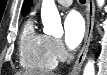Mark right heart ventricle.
<instances>
[{"instance_id":"obj_1","label":"right heart ventricle","mask_w":107,"mask_h":75,"mask_svg":"<svg viewBox=\"0 0 107 75\" xmlns=\"http://www.w3.org/2000/svg\"><path fill=\"white\" fill-rule=\"evenodd\" d=\"M19 60L22 68L32 72H48L55 68L50 37L38 32L33 19L23 26L19 41Z\"/></svg>"}]
</instances>
